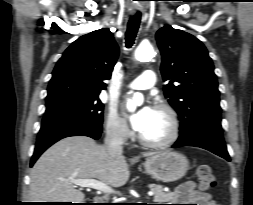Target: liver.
<instances>
[{
	"label": "liver",
	"instance_id": "6515ba94",
	"mask_svg": "<svg viewBox=\"0 0 253 205\" xmlns=\"http://www.w3.org/2000/svg\"><path fill=\"white\" fill-rule=\"evenodd\" d=\"M152 155L146 153L144 157ZM129 176L124 156L110 154L89 137H67L46 150L33 166L30 199L81 203L85 195L71 179H98L117 188L126 184Z\"/></svg>",
	"mask_w": 253,
	"mask_h": 205
}]
</instances>
